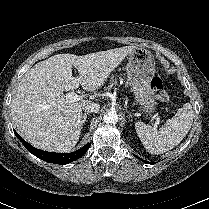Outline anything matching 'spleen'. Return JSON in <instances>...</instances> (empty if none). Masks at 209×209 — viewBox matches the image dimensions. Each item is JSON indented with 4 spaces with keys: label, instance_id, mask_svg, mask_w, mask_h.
Listing matches in <instances>:
<instances>
[{
    "label": "spleen",
    "instance_id": "1",
    "mask_svg": "<svg viewBox=\"0 0 209 209\" xmlns=\"http://www.w3.org/2000/svg\"><path fill=\"white\" fill-rule=\"evenodd\" d=\"M193 119L192 106L190 103H186L158 130L143 122H137L135 129L149 153L163 154L184 139L192 126Z\"/></svg>",
    "mask_w": 209,
    "mask_h": 209
}]
</instances>
